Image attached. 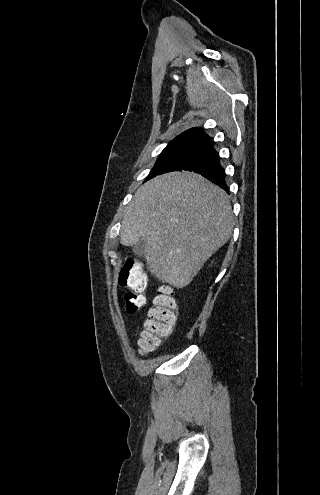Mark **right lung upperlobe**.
Masks as SVG:
<instances>
[{"mask_svg":"<svg viewBox=\"0 0 320 495\" xmlns=\"http://www.w3.org/2000/svg\"><path fill=\"white\" fill-rule=\"evenodd\" d=\"M210 139L211 137L205 134L202 129L195 127L181 133L175 139H173L172 142L180 140H199L208 142Z\"/></svg>","mask_w":320,"mask_h":495,"instance_id":"1","label":"right lung upper lobe"}]
</instances>
